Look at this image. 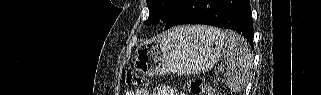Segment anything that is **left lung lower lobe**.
<instances>
[{
    "instance_id": "1",
    "label": "left lung lower lobe",
    "mask_w": 321,
    "mask_h": 95,
    "mask_svg": "<svg viewBox=\"0 0 321 95\" xmlns=\"http://www.w3.org/2000/svg\"><path fill=\"white\" fill-rule=\"evenodd\" d=\"M166 22V29L181 24L232 29L253 45L250 0H182Z\"/></svg>"
}]
</instances>
